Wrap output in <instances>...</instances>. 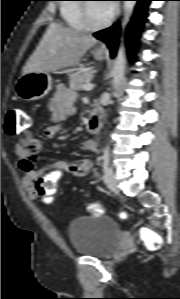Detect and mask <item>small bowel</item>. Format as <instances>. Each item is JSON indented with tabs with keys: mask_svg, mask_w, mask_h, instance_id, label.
Instances as JSON below:
<instances>
[{
	"mask_svg": "<svg viewBox=\"0 0 180 299\" xmlns=\"http://www.w3.org/2000/svg\"><path fill=\"white\" fill-rule=\"evenodd\" d=\"M75 95L65 86H58L56 92L47 106L49 123L44 128L43 134L46 138L56 137L63 122L75 114ZM43 143L32 136L29 131H24L21 139L16 145L18 165L22 171V183L26 194L30 198L38 194L39 183H56L66 177H83L87 175L92 167L91 161L86 158L74 162L55 161L46 167H38L41 158ZM81 149L87 152L96 150L95 140L88 138L81 143Z\"/></svg>",
	"mask_w": 180,
	"mask_h": 299,
	"instance_id": "obj_1",
	"label": "small bowel"
}]
</instances>
